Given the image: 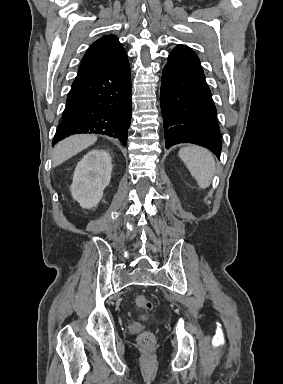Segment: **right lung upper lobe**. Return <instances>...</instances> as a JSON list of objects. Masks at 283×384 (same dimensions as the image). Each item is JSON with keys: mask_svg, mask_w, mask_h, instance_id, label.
<instances>
[{"mask_svg": "<svg viewBox=\"0 0 283 384\" xmlns=\"http://www.w3.org/2000/svg\"><path fill=\"white\" fill-rule=\"evenodd\" d=\"M128 62L127 54L114 35L95 41L84 55L76 79L115 70Z\"/></svg>", "mask_w": 283, "mask_h": 384, "instance_id": "1", "label": "right lung upper lobe"}]
</instances>
